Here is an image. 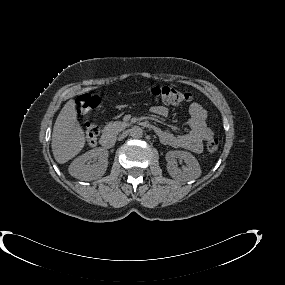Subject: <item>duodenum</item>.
<instances>
[{"mask_svg":"<svg viewBox=\"0 0 285 285\" xmlns=\"http://www.w3.org/2000/svg\"><path fill=\"white\" fill-rule=\"evenodd\" d=\"M100 142L104 147H111L113 145V136L105 132L101 135Z\"/></svg>","mask_w":285,"mask_h":285,"instance_id":"duodenum-1","label":"duodenum"}]
</instances>
